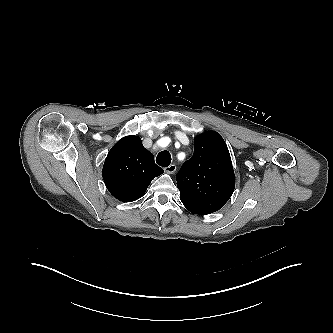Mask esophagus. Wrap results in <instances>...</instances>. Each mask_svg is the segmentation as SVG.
I'll return each mask as SVG.
<instances>
[{"label":"esophagus","mask_w":333,"mask_h":333,"mask_svg":"<svg viewBox=\"0 0 333 333\" xmlns=\"http://www.w3.org/2000/svg\"><path fill=\"white\" fill-rule=\"evenodd\" d=\"M164 171L168 174H173L176 171V165L171 164L168 167L164 168Z\"/></svg>","instance_id":"esophagus-1"}]
</instances>
